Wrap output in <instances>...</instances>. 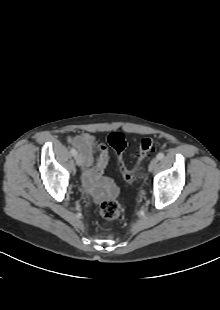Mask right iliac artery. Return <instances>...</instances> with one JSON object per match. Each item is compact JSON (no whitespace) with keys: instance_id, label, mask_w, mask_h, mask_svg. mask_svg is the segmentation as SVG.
Returning <instances> with one entry per match:
<instances>
[{"instance_id":"82829eb1","label":"right iliac artery","mask_w":220,"mask_h":310,"mask_svg":"<svg viewBox=\"0 0 220 310\" xmlns=\"http://www.w3.org/2000/svg\"><path fill=\"white\" fill-rule=\"evenodd\" d=\"M71 154L73 155V156H76L77 155V151H76V149L75 148H71Z\"/></svg>"}]
</instances>
